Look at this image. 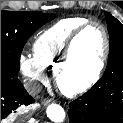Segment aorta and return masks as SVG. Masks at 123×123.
<instances>
[{
	"mask_svg": "<svg viewBox=\"0 0 123 123\" xmlns=\"http://www.w3.org/2000/svg\"><path fill=\"white\" fill-rule=\"evenodd\" d=\"M47 116L48 118L55 122V123H61L64 121L65 119V111L64 109L58 105V104H50L48 107H47Z\"/></svg>",
	"mask_w": 123,
	"mask_h": 123,
	"instance_id": "762f6f07",
	"label": "aorta"
}]
</instances>
